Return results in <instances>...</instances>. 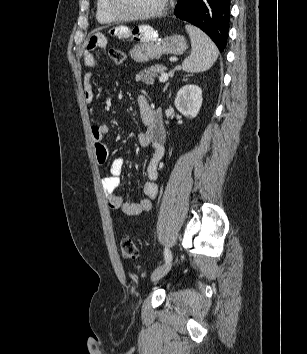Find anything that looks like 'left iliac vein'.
Segmentation results:
<instances>
[{
  "instance_id": "obj_1",
  "label": "left iliac vein",
  "mask_w": 307,
  "mask_h": 354,
  "mask_svg": "<svg viewBox=\"0 0 307 354\" xmlns=\"http://www.w3.org/2000/svg\"><path fill=\"white\" fill-rule=\"evenodd\" d=\"M171 267H172V257H171V260L168 263H166L165 265L157 268L153 272V274L151 276L152 281H157V280L161 279L162 277H164L169 272Z\"/></svg>"
}]
</instances>
